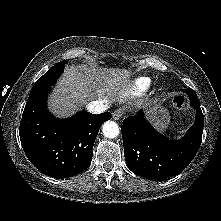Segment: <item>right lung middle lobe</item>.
<instances>
[{
	"mask_svg": "<svg viewBox=\"0 0 221 221\" xmlns=\"http://www.w3.org/2000/svg\"><path fill=\"white\" fill-rule=\"evenodd\" d=\"M66 61H61L55 64L49 71H47L43 76H41L34 84L30 95L36 92L45 90L50 88L55 81L57 80L58 76L63 72L64 65Z\"/></svg>",
	"mask_w": 221,
	"mask_h": 221,
	"instance_id": "1",
	"label": "right lung middle lobe"
}]
</instances>
